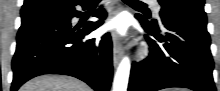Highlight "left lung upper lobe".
Here are the masks:
<instances>
[{"label":"left lung upper lobe","instance_id":"obj_1","mask_svg":"<svg viewBox=\"0 0 220 91\" xmlns=\"http://www.w3.org/2000/svg\"><path fill=\"white\" fill-rule=\"evenodd\" d=\"M162 6L160 11L161 19L166 15L182 16L194 20L207 22L204 11V0H158ZM153 24L157 21L152 20Z\"/></svg>","mask_w":220,"mask_h":91}]
</instances>
